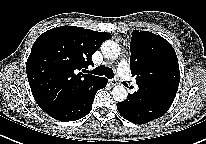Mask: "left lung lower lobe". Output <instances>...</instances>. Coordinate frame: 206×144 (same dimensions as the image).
I'll return each instance as SVG.
<instances>
[{"mask_svg":"<svg viewBox=\"0 0 206 144\" xmlns=\"http://www.w3.org/2000/svg\"><path fill=\"white\" fill-rule=\"evenodd\" d=\"M174 98L169 94L150 96L145 86L128 94V99L117 104L119 113L128 121L144 124L162 117L170 108Z\"/></svg>","mask_w":206,"mask_h":144,"instance_id":"left-lung-lower-lobe-1","label":"left lung lower lobe"}]
</instances>
